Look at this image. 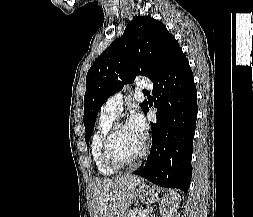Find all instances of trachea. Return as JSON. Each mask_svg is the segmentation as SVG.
I'll return each mask as SVG.
<instances>
[{
	"mask_svg": "<svg viewBox=\"0 0 253 217\" xmlns=\"http://www.w3.org/2000/svg\"><path fill=\"white\" fill-rule=\"evenodd\" d=\"M143 92H144L145 94H146V93H148L146 90H145V91H143Z\"/></svg>",
	"mask_w": 253,
	"mask_h": 217,
	"instance_id": "obj_1",
	"label": "trachea"
}]
</instances>
